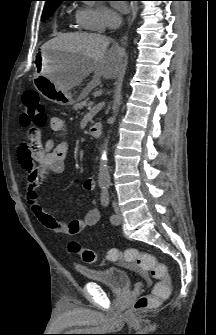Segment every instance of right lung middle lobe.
I'll list each match as a JSON object with an SVG mask.
<instances>
[{"label": "right lung middle lobe", "instance_id": "1", "mask_svg": "<svg viewBox=\"0 0 216 335\" xmlns=\"http://www.w3.org/2000/svg\"><path fill=\"white\" fill-rule=\"evenodd\" d=\"M59 5L60 3L45 6L41 21H45L46 19H48L52 15V13L58 8Z\"/></svg>", "mask_w": 216, "mask_h": 335}]
</instances>
